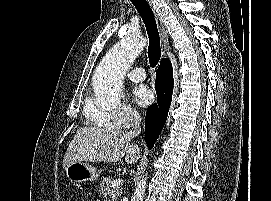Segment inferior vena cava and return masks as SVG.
I'll return each mask as SVG.
<instances>
[{
  "instance_id": "inferior-vena-cava-1",
  "label": "inferior vena cava",
  "mask_w": 271,
  "mask_h": 201,
  "mask_svg": "<svg viewBox=\"0 0 271 201\" xmlns=\"http://www.w3.org/2000/svg\"><path fill=\"white\" fill-rule=\"evenodd\" d=\"M141 116L138 112L131 113V129L129 135L131 137H136L141 132Z\"/></svg>"
}]
</instances>
